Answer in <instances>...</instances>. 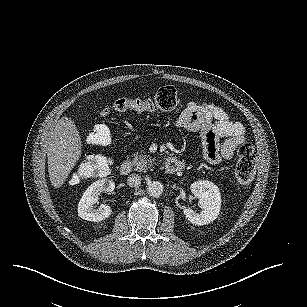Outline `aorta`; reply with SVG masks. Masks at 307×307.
Segmentation results:
<instances>
[{
	"mask_svg": "<svg viewBox=\"0 0 307 307\" xmlns=\"http://www.w3.org/2000/svg\"><path fill=\"white\" fill-rule=\"evenodd\" d=\"M164 185L159 181H151L147 185V192L150 196L158 198L163 194Z\"/></svg>",
	"mask_w": 307,
	"mask_h": 307,
	"instance_id": "aorta-1",
	"label": "aorta"
}]
</instances>
